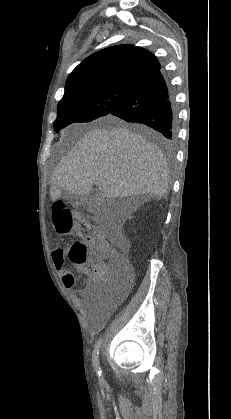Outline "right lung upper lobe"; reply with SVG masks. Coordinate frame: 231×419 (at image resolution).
Returning <instances> with one entry per match:
<instances>
[{
  "label": "right lung upper lobe",
  "mask_w": 231,
  "mask_h": 419,
  "mask_svg": "<svg viewBox=\"0 0 231 419\" xmlns=\"http://www.w3.org/2000/svg\"><path fill=\"white\" fill-rule=\"evenodd\" d=\"M160 67L156 57L141 47H109L90 55L72 71L67 78L63 98L82 88L105 85L133 87L142 77Z\"/></svg>",
  "instance_id": "1"
}]
</instances>
